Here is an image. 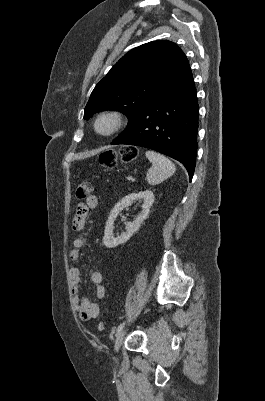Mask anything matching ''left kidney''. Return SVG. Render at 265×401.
<instances>
[{"label":"left kidney","instance_id":"1","mask_svg":"<svg viewBox=\"0 0 265 401\" xmlns=\"http://www.w3.org/2000/svg\"><path fill=\"white\" fill-rule=\"evenodd\" d=\"M138 198H143V205L141 213L137 215L135 221L133 223H127L126 225V233H122L120 237H114L113 235V225L114 221H116V217H118L120 211L125 209V207H129L132 205L134 201H138ZM154 203V194L152 190H141V192H132V194H126L121 198V201L116 203L115 207H113L108 221L105 227V235L103 237V245L108 247V249H114V247H118L121 243H126L130 237H132L133 233L138 231L142 221H145L149 215V211Z\"/></svg>","mask_w":265,"mask_h":401}]
</instances>
